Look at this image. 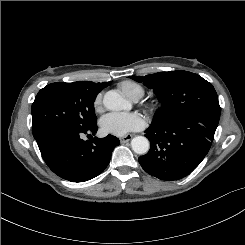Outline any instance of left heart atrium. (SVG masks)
I'll return each mask as SVG.
<instances>
[{
	"instance_id": "obj_1",
	"label": "left heart atrium",
	"mask_w": 245,
	"mask_h": 245,
	"mask_svg": "<svg viewBox=\"0 0 245 245\" xmlns=\"http://www.w3.org/2000/svg\"><path fill=\"white\" fill-rule=\"evenodd\" d=\"M143 126L144 118L138 113H108L100 120L101 130L114 136H124Z\"/></svg>"
}]
</instances>
